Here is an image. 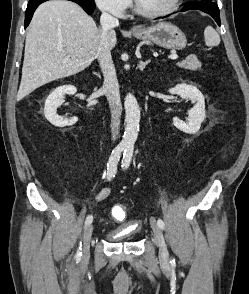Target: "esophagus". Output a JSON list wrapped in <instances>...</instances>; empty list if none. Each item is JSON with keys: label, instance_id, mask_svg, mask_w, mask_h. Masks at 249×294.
Here are the masks:
<instances>
[{"label": "esophagus", "instance_id": "34e87169", "mask_svg": "<svg viewBox=\"0 0 249 294\" xmlns=\"http://www.w3.org/2000/svg\"><path fill=\"white\" fill-rule=\"evenodd\" d=\"M140 30H141V29H140L139 27H133V28H132V31H133V32H137V31H140Z\"/></svg>", "mask_w": 249, "mask_h": 294}]
</instances>
